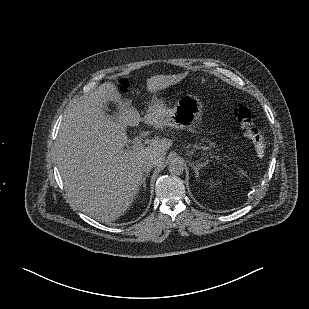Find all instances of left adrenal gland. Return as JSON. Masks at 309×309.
<instances>
[{"mask_svg":"<svg viewBox=\"0 0 309 309\" xmlns=\"http://www.w3.org/2000/svg\"><path fill=\"white\" fill-rule=\"evenodd\" d=\"M193 167V169H194V171H195V174H196V176L198 177V175H199V170H200V168H201V166L199 165H193L192 166Z\"/></svg>","mask_w":309,"mask_h":309,"instance_id":"1","label":"left adrenal gland"}]
</instances>
